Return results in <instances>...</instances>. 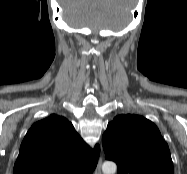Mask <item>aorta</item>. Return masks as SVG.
<instances>
[{
  "instance_id": "1",
  "label": "aorta",
  "mask_w": 187,
  "mask_h": 174,
  "mask_svg": "<svg viewBox=\"0 0 187 174\" xmlns=\"http://www.w3.org/2000/svg\"><path fill=\"white\" fill-rule=\"evenodd\" d=\"M117 170V166L114 162H104L102 165L103 174H115Z\"/></svg>"
}]
</instances>
